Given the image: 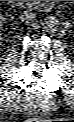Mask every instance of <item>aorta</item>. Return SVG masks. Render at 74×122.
Listing matches in <instances>:
<instances>
[{
	"instance_id": "obj_1",
	"label": "aorta",
	"mask_w": 74,
	"mask_h": 122,
	"mask_svg": "<svg viewBox=\"0 0 74 122\" xmlns=\"http://www.w3.org/2000/svg\"><path fill=\"white\" fill-rule=\"evenodd\" d=\"M46 27L49 31H56L57 27H58V20L53 17V16H50L46 19Z\"/></svg>"
}]
</instances>
